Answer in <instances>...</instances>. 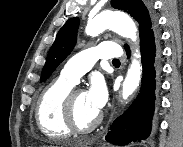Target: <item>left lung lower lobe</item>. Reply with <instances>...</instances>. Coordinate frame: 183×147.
Instances as JSON below:
<instances>
[{"instance_id": "obj_1", "label": "left lung lower lobe", "mask_w": 183, "mask_h": 147, "mask_svg": "<svg viewBox=\"0 0 183 147\" xmlns=\"http://www.w3.org/2000/svg\"><path fill=\"white\" fill-rule=\"evenodd\" d=\"M160 36L155 27L140 38L143 77L140 93L133 104L118 117L107 134L106 140L115 145L145 140L156 126V111L161 76ZM128 57L129 47L126 48Z\"/></svg>"}]
</instances>
